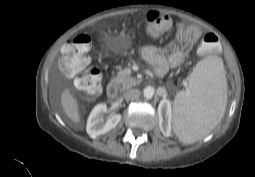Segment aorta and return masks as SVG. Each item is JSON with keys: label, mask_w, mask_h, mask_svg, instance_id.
Masks as SVG:
<instances>
[{"label": "aorta", "mask_w": 255, "mask_h": 177, "mask_svg": "<svg viewBox=\"0 0 255 177\" xmlns=\"http://www.w3.org/2000/svg\"><path fill=\"white\" fill-rule=\"evenodd\" d=\"M155 89L152 86L144 88L143 95L146 99H151L154 96Z\"/></svg>", "instance_id": "obj_1"}]
</instances>
